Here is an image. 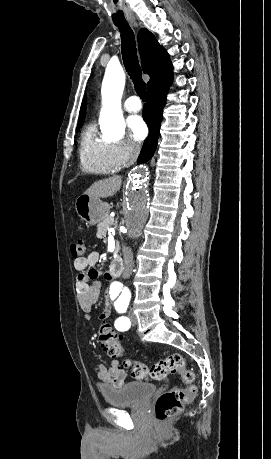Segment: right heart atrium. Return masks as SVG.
Instances as JSON below:
<instances>
[{
  "mask_svg": "<svg viewBox=\"0 0 271 459\" xmlns=\"http://www.w3.org/2000/svg\"><path fill=\"white\" fill-rule=\"evenodd\" d=\"M114 159L120 166L133 163L139 156L140 147L129 139H122L112 143Z\"/></svg>",
  "mask_w": 271,
  "mask_h": 459,
  "instance_id": "1",
  "label": "right heart atrium"
}]
</instances>
